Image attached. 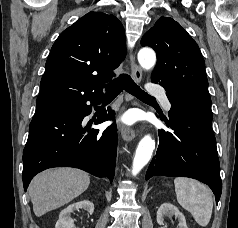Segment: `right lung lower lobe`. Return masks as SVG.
<instances>
[{"label": "right lung lower lobe", "mask_w": 238, "mask_h": 228, "mask_svg": "<svg viewBox=\"0 0 238 228\" xmlns=\"http://www.w3.org/2000/svg\"><path fill=\"white\" fill-rule=\"evenodd\" d=\"M102 98L103 94H96L36 110L23 151L25 191L37 173L51 167H76L113 180L118 140L116 124L97 130L84 121L91 113V105L99 104ZM113 118L114 111L108 108V113L103 110L95 124Z\"/></svg>", "instance_id": "obj_1"}]
</instances>
